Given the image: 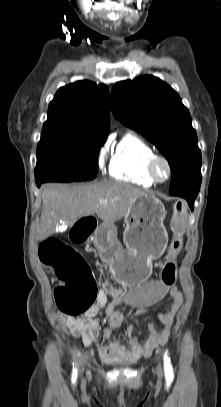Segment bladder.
Masks as SVG:
<instances>
[{
	"label": "bladder",
	"mask_w": 221,
	"mask_h": 407,
	"mask_svg": "<svg viewBox=\"0 0 221 407\" xmlns=\"http://www.w3.org/2000/svg\"><path fill=\"white\" fill-rule=\"evenodd\" d=\"M109 364L119 365V366H126L131 365L133 362L130 361H122V360H107Z\"/></svg>",
	"instance_id": "obj_1"
}]
</instances>
